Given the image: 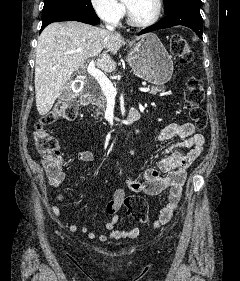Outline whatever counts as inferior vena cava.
Segmentation results:
<instances>
[{
  "label": "inferior vena cava",
  "instance_id": "602c4592",
  "mask_svg": "<svg viewBox=\"0 0 240 281\" xmlns=\"http://www.w3.org/2000/svg\"><path fill=\"white\" fill-rule=\"evenodd\" d=\"M107 27V29L109 30V31H113L114 30V27H112V26H106Z\"/></svg>",
  "mask_w": 240,
  "mask_h": 281
}]
</instances>
